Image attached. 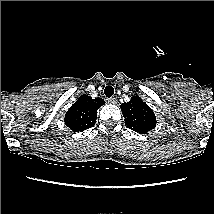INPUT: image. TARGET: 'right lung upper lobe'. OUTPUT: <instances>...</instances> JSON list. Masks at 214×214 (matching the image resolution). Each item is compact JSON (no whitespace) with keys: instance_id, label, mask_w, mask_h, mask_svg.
I'll return each instance as SVG.
<instances>
[{"instance_id":"1","label":"right lung upper lobe","mask_w":214,"mask_h":214,"mask_svg":"<svg viewBox=\"0 0 214 214\" xmlns=\"http://www.w3.org/2000/svg\"><path fill=\"white\" fill-rule=\"evenodd\" d=\"M104 104L102 98L92 99L88 95H81L65 115L66 126L74 132L91 128L96 123L97 110Z\"/></svg>"}]
</instances>
